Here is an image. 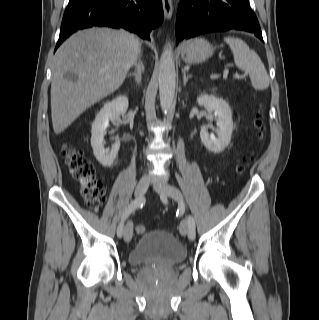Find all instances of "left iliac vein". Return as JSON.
Wrapping results in <instances>:
<instances>
[{
	"instance_id": "left-iliac-vein-1",
	"label": "left iliac vein",
	"mask_w": 319,
	"mask_h": 320,
	"mask_svg": "<svg viewBox=\"0 0 319 320\" xmlns=\"http://www.w3.org/2000/svg\"><path fill=\"white\" fill-rule=\"evenodd\" d=\"M154 189L161 197L168 196L176 200L179 203L180 207L185 210V202L183 200L182 194L176 187L169 184H161L154 185ZM188 229V221L187 219H183L180 224V233L183 236L188 235V238L190 239Z\"/></svg>"
}]
</instances>
